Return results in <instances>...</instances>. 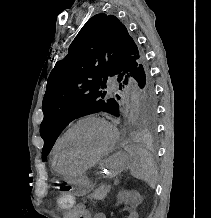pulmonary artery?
<instances>
[{
	"mask_svg": "<svg viewBox=\"0 0 211 218\" xmlns=\"http://www.w3.org/2000/svg\"><path fill=\"white\" fill-rule=\"evenodd\" d=\"M106 89H109L111 95H118L120 86L117 84V80H106Z\"/></svg>",
	"mask_w": 211,
	"mask_h": 218,
	"instance_id": "e3ab8cb5",
	"label": "pulmonary artery"
}]
</instances>
